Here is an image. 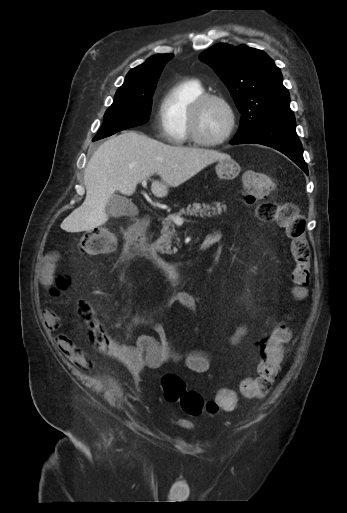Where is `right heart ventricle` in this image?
Wrapping results in <instances>:
<instances>
[{"mask_svg": "<svg viewBox=\"0 0 347 513\" xmlns=\"http://www.w3.org/2000/svg\"><path fill=\"white\" fill-rule=\"evenodd\" d=\"M205 93L204 87L194 79H183L173 83L163 94L159 117L163 137L171 144L190 142L188 135V111L193 101Z\"/></svg>", "mask_w": 347, "mask_h": 513, "instance_id": "e07e8e85", "label": "right heart ventricle"}]
</instances>
